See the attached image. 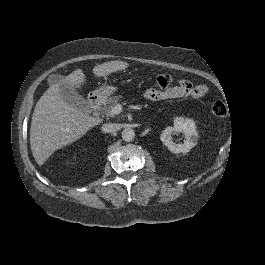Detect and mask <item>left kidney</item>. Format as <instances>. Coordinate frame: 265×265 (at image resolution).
I'll return each mask as SVG.
<instances>
[{
	"instance_id": "1",
	"label": "left kidney",
	"mask_w": 265,
	"mask_h": 265,
	"mask_svg": "<svg viewBox=\"0 0 265 265\" xmlns=\"http://www.w3.org/2000/svg\"><path fill=\"white\" fill-rule=\"evenodd\" d=\"M182 133L185 140L182 144L176 143L172 136ZM160 139L162 143L175 154H187L198 141V134L195 131V123L191 119L178 118L174 121L173 127H166L162 132Z\"/></svg>"
}]
</instances>
